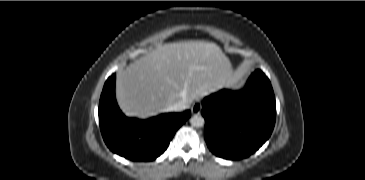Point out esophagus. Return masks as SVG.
Instances as JSON below:
<instances>
[{"label": "esophagus", "mask_w": 365, "mask_h": 180, "mask_svg": "<svg viewBox=\"0 0 365 180\" xmlns=\"http://www.w3.org/2000/svg\"><path fill=\"white\" fill-rule=\"evenodd\" d=\"M201 109H202V105H201V103H198V102L194 103V104L191 106V112H192V114H194V115H198V114H200Z\"/></svg>", "instance_id": "1"}]
</instances>
